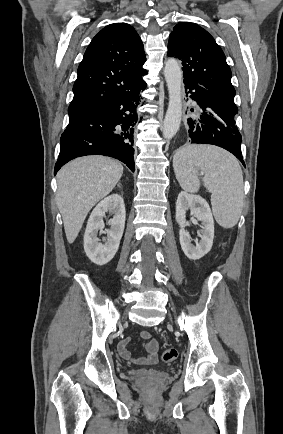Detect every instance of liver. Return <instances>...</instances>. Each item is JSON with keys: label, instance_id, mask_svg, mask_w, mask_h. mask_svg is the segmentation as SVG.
I'll use <instances>...</instances> for the list:
<instances>
[{"label": "liver", "instance_id": "6515ba94", "mask_svg": "<svg viewBox=\"0 0 283 434\" xmlns=\"http://www.w3.org/2000/svg\"><path fill=\"white\" fill-rule=\"evenodd\" d=\"M122 174L120 162L100 155L74 159L58 172L56 203L70 244L88 212L114 189Z\"/></svg>", "mask_w": 283, "mask_h": 434}]
</instances>
